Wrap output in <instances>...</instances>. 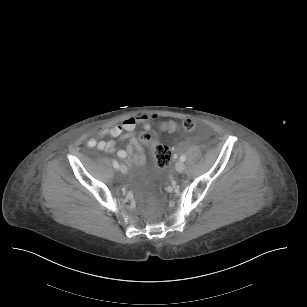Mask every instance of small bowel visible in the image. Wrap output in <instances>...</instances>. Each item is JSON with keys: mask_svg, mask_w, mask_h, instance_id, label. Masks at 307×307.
I'll list each match as a JSON object with an SVG mask.
<instances>
[{"mask_svg": "<svg viewBox=\"0 0 307 307\" xmlns=\"http://www.w3.org/2000/svg\"><path fill=\"white\" fill-rule=\"evenodd\" d=\"M151 116L142 114L126 118L120 125L105 129L100 133V136L109 135L113 138H121L128 140L129 144L125 149H116V144L113 140L103 141L95 138L89 139L87 144L89 147H97L107 153L116 152L118 158L122 160L129 159L131 163L137 166H143L146 163V153L140 140L135 135L137 126L143 129L150 125Z\"/></svg>", "mask_w": 307, "mask_h": 307, "instance_id": "c3829d8e", "label": "small bowel"}]
</instances>
